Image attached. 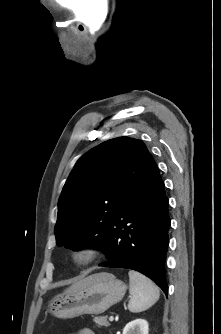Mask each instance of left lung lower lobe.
<instances>
[{"mask_svg":"<svg viewBox=\"0 0 221 334\" xmlns=\"http://www.w3.org/2000/svg\"><path fill=\"white\" fill-rule=\"evenodd\" d=\"M168 198L153 162L116 215L100 266L133 269L152 279L167 295L166 256L170 217Z\"/></svg>","mask_w":221,"mask_h":334,"instance_id":"obj_1","label":"left lung lower lobe"}]
</instances>
